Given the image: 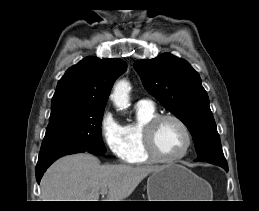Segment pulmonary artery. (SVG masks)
<instances>
[{
  "label": "pulmonary artery",
  "mask_w": 259,
  "mask_h": 211,
  "mask_svg": "<svg viewBox=\"0 0 259 211\" xmlns=\"http://www.w3.org/2000/svg\"><path fill=\"white\" fill-rule=\"evenodd\" d=\"M138 104L153 106V102L150 99H141L138 101Z\"/></svg>",
  "instance_id": "obj_1"
}]
</instances>
